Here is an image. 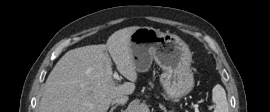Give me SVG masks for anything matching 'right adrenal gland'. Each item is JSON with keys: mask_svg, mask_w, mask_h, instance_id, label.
<instances>
[{"mask_svg": "<svg viewBox=\"0 0 270 112\" xmlns=\"http://www.w3.org/2000/svg\"><path fill=\"white\" fill-rule=\"evenodd\" d=\"M117 107H118V105L113 106V107L110 109L109 112H113Z\"/></svg>", "mask_w": 270, "mask_h": 112, "instance_id": "right-adrenal-gland-1", "label": "right adrenal gland"}]
</instances>
